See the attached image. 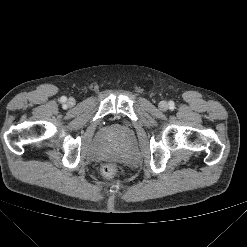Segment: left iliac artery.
I'll return each instance as SVG.
<instances>
[{"instance_id":"1","label":"left iliac artery","mask_w":247,"mask_h":247,"mask_svg":"<svg viewBox=\"0 0 247 247\" xmlns=\"http://www.w3.org/2000/svg\"><path fill=\"white\" fill-rule=\"evenodd\" d=\"M169 105H170V108H171V109L174 108V102H170Z\"/></svg>"}]
</instances>
